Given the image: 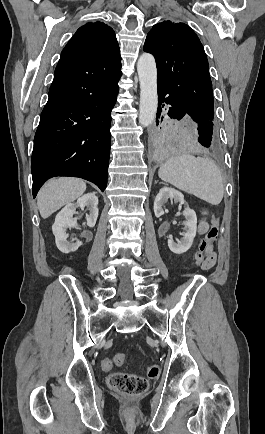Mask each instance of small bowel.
<instances>
[{"mask_svg":"<svg viewBox=\"0 0 265 434\" xmlns=\"http://www.w3.org/2000/svg\"><path fill=\"white\" fill-rule=\"evenodd\" d=\"M207 214H208V211H207L206 208H201L200 209L201 219H200L199 224H198V233L200 235L206 234L208 232L209 228H210L209 223H208V221L206 219ZM216 259H217V256H216V253L214 251L213 243H212L209 246V248L207 250V253H206V259H205L206 266L209 269L212 268L215 265V263H216ZM114 364H116V363L113 360H111L109 358H105V368H104V370H111L113 368Z\"/></svg>","mask_w":265,"mask_h":434,"instance_id":"obj_1","label":"small bowel"}]
</instances>
